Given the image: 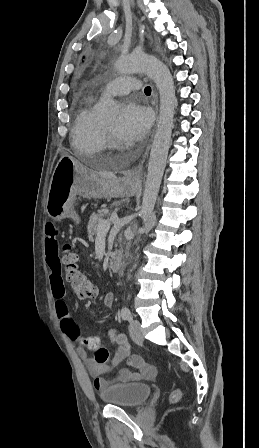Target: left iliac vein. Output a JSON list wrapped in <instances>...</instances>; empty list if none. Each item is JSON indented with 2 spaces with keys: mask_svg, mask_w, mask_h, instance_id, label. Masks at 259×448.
Wrapping results in <instances>:
<instances>
[{
  "mask_svg": "<svg viewBox=\"0 0 259 448\" xmlns=\"http://www.w3.org/2000/svg\"><path fill=\"white\" fill-rule=\"evenodd\" d=\"M129 333L132 340L140 343L144 340L141 324L137 319H132L129 324Z\"/></svg>",
  "mask_w": 259,
  "mask_h": 448,
  "instance_id": "obj_1",
  "label": "left iliac vein"
}]
</instances>
